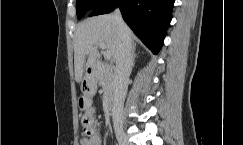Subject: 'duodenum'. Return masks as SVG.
<instances>
[{"instance_id":"duodenum-1","label":"duodenum","mask_w":243,"mask_h":145,"mask_svg":"<svg viewBox=\"0 0 243 145\" xmlns=\"http://www.w3.org/2000/svg\"><path fill=\"white\" fill-rule=\"evenodd\" d=\"M101 71H102V66H100V65H93V66L89 67V69H88V79H87L88 83L91 84V85L94 84L96 78L101 73ZM107 107H108V110L110 112H112L114 110L115 100L113 98H109L107 100Z\"/></svg>"}]
</instances>
